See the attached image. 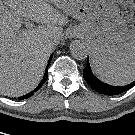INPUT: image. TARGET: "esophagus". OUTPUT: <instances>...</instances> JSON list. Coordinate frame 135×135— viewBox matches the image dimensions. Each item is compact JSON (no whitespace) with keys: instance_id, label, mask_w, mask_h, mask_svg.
<instances>
[{"instance_id":"34e87169","label":"esophagus","mask_w":135,"mask_h":135,"mask_svg":"<svg viewBox=\"0 0 135 135\" xmlns=\"http://www.w3.org/2000/svg\"><path fill=\"white\" fill-rule=\"evenodd\" d=\"M67 37H68V38H73V37H75V33H74L73 31H69V32L67 33Z\"/></svg>"}]
</instances>
